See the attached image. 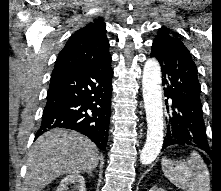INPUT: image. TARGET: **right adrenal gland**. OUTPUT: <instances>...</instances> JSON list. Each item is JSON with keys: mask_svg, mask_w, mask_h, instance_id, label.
<instances>
[{"mask_svg": "<svg viewBox=\"0 0 221 191\" xmlns=\"http://www.w3.org/2000/svg\"><path fill=\"white\" fill-rule=\"evenodd\" d=\"M88 174H89L90 176H92V175H93V172H92V171H90V172H88Z\"/></svg>", "mask_w": 221, "mask_h": 191, "instance_id": "right-adrenal-gland-1", "label": "right adrenal gland"}]
</instances>
